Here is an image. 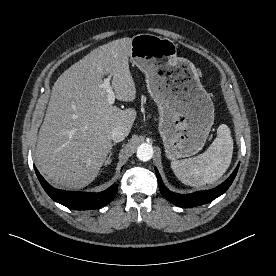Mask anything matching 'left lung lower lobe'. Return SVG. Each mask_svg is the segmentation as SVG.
<instances>
[{"instance_id": "obj_1", "label": "left lung lower lobe", "mask_w": 276, "mask_h": 276, "mask_svg": "<svg viewBox=\"0 0 276 276\" xmlns=\"http://www.w3.org/2000/svg\"><path fill=\"white\" fill-rule=\"evenodd\" d=\"M238 168H239V164L237 165L233 173L230 175V177L226 179L222 184L217 186L216 188L207 190V191L195 192L193 194H187V195L176 194L168 190L164 185L160 177V174L156 168H155V172H156L161 194L171 203L179 207L190 208V207L207 204L213 201L214 199H216L217 197H219L220 195H222L223 193H225L226 190L232 184L237 174Z\"/></svg>"}]
</instances>
